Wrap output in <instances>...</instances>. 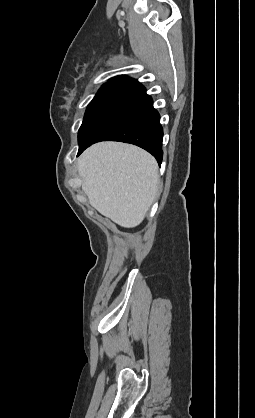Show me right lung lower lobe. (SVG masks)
<instances>
[{
    "label": "right lung lower lobe",
    "instance_id": "obj_1",
    "mask_svg": "<svg viewBox=\"0 0 255 418\" xmlns=\"http://www.w3.org/2000/svg\"><path fill=\"white\" fill-rule=\"evenodd\" d=\"M163 129L160 115L141 84L123 89L94 116L79 139V152L99 141H121L137 145L162 162Z\"/></svg>",
    "mask_w": 255,
    "mask_h": 418
}]
</instances>
